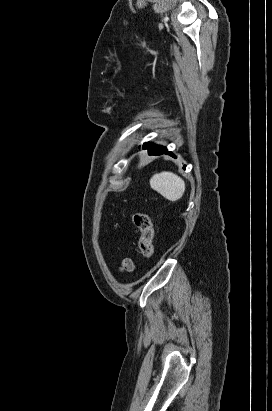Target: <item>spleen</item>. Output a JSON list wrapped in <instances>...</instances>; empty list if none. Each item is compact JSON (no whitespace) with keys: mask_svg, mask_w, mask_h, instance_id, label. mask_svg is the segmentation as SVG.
I'll use <instances>...</instances> for the list:
<instances>
[{"mask_svg":"<svg viewBox=\"0 0 272 411\" xmlns=\"http://www.w3.org/2000/svg\"><path fill=\"white\" fill-rule=\"evenodd\" d=\"M150 186L169 201L179 200L185 191V182L172 172H161L153 175Z\"/></svg>","mask_w":272,"mask_h":411,"instance_id":"spleen-1","label":"spleen"}]
</instances>
